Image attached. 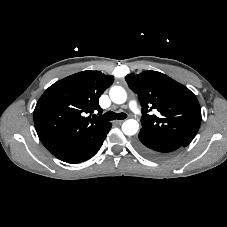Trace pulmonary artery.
Segmentation results:
<instances>
[{"mask_svg": "<svg viewBox=\"0 0 227 227\" xmlns=\"http://www.w3.org/2000/svg\"><path fill=\"white\" fill-rule=\"evenodd\" d=\"M128 106H129L130 110L133 111L135 114L139 113V109H138L136 101L131 100L129 102Z\"/></svg>", "mask_w": 227, "mask_h": 227, "instance_id": "pulmonary-artery-1", "label": "pulmonary artery"}]
</instances>
